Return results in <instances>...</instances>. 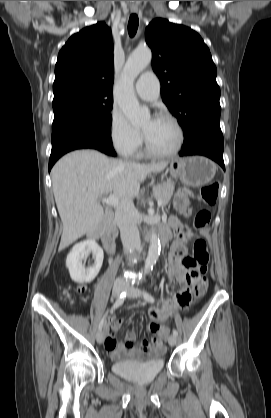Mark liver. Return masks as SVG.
I'll return each mask as SVG.
<instances>
[{
	"instance_id": "obj_1",
	"label": "liver",
	"mask_w": 271,
	"mask_h": 418,
	"mask_svg": "<svg viewBox=\"0 0 271 418\" xmlns=\"http://www.w3.org/2000/svg\"><path fill=\"white\" fill-rule=\"evenodd\" d=\"M168 162L140 164L108 158L95 150H78L52 168V189L63 223L59 250L92 232L103 220L99 198L111 193L119 201L137 196L140 184Z\"/></svg>"
}]
</instances>
